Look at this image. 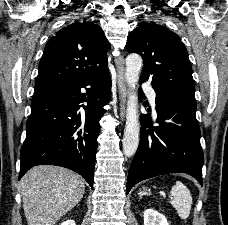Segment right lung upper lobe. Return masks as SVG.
Here are the masks:
<instances>
[{"mask_svg":"<svg viewBox=\"0 0 228 225\" xmlns=\"http://www.w3.org/2000/svg\"><path fill=\"white\" fill-rule=\"evenodd\" d=\"M109 49L99 25L86 20L67 25L46 43L35 89H54L90 79L108 69Z\"/></svg>","mask_w":228,"mask_h":225,"instance_id":"obj_1","label":"right lung upper lobe"}]
</instances>
